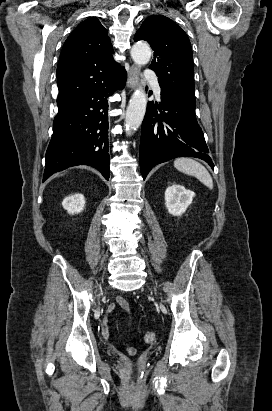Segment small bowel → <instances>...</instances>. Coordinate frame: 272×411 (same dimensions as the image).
Wrapping results in <instances>:
<instances>
[{
    "mask_svg": "<svg viewBox=\"0 0 272 411\" xmlns=\"http://www.w3.org/2000/svg\"><path fill=\"white\" fill-rule=\"evenodd\" d=\"M116 303L123 310H125L127 312L128 316H129L128 324L131 325V323H132V310H131V307H130L129 303L122 297H118L117 300H116ZM115 307H116V305H114V304L110 305L109 310L112 311V310L115 309ZM101 331H102L103 338L107 340L109 338V332H108V327H107L106 321H104L102 323ZM126 350L129 354H134V352H135V349L133 347H127Z\"/></svg>",
    "mask_w": 272,
    "mask_h": 411,
    "instance_id": "c3829d8e",
    "label": "small bowel"
}]
</instances>
